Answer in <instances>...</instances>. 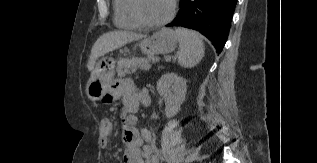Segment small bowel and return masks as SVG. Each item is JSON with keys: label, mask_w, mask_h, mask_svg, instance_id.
<instances>
[{"label": "small bowel", "mask_w": 317, "mask_h": 163, "mask_svg": "<svg viewBox=\"0 0 317 163\" xmlns=\"http://www.w3.org/2000/svg\"><path fill=\"white\" fill-rule=\"evenodd\" d=\"M113 100L121 99L124 113L123 141L125 150L124 163H159V151L153 136L146 128H139L134 113L138 110L141 95L130 81H121L113 89ZM112 123L106 119L101 123L100 147L107 149L111 146ZM144 142L146 143L145 145Z\"/></svg>", "instance_id": "c3829d8e"}]
</instances>
